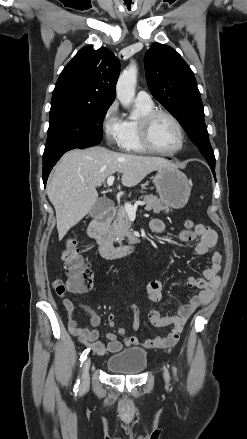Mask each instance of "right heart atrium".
<instances>
[{"label":"right heart atrium","mask_w":247,"mask_h":439,"mask_svg":"<svg viewBox=\"0 0 247 439\" xmlns=\"http://www.w3.org/2000/svg\"><path fill=\"white\" fill-rule=\"evenodd\" d=\"M101 129L110 146H120L124 134V120L121 118L117 102H112L104 111Z\"/></svg>","instance_id":"1"}]
</instances>
